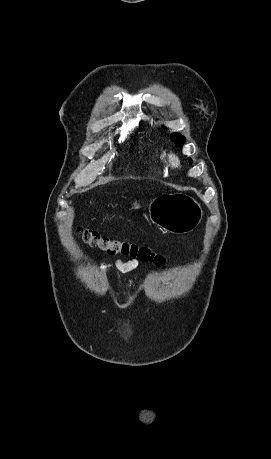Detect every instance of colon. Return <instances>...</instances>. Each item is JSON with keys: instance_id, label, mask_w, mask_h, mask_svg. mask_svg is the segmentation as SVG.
Returning <instances> with one entry per match:
<instances>
[{"instance_id": "colon-1", "label": "colon", "mask_w": 271, "mask_h": 459, "mask_svg": "<svg viewBox=\"0 0 271 459\" xmlns=\"http://www.w3.org/2000/svg\"><path fill=\"white\" fill-rule=\"evenodd\" d=\"M77 234L86 244L110 255L129 256L156 265H163L165 262L161 255L155 254L149 247L128 239H112L89 229H78Z\"/></svg>"}]
</instances>
